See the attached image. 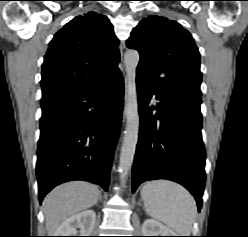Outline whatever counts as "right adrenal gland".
I'll use <instances>...</instances> for the list:
<instances>
[{
	"label": "right adrenal gland",
	"mask_w": 248,
	"mask_h": 237,
	"mask_svg": "<svg viewBox=\"0 0 248 237\" xmlns=\"http://www.w3.org/2000/svg\"><path fill=\"white\" fill-rule=\"evenodd\" d=\"M99 200H100V201L102 200V196H101V194L99 195Z\"/></svg>",
	"instance_id": "obj_1"
}]
</instances>
